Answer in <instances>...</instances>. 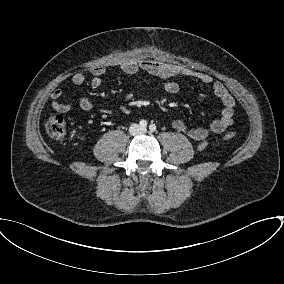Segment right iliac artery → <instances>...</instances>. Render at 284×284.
Instances as JSON below:
<instances>
[{
  "instance_id": "82829eb1",
  "label": "right iliac artery",
  "mask_w": 284,
  "mask_h": 284,
  "mask_svg": "<svg viewBox=\"0 0 284 284\" xmlns=\"http://www.w3.org/2000/svg\"><path fill=\"white\" fill-rule=\"evenodd\" d=\"M139 124L143 128L147 127V121L146 120H141Z\"/></svg>"
}]
</instances>
